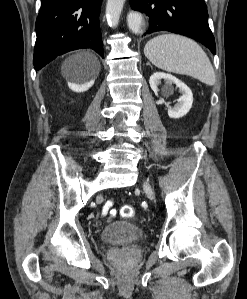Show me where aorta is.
I'll use <instances>...</instances> for the list:
<instances>
[{"mask_svg": "<svg viewBox=\"0 0 247 299\" xmlns=\"http://www.w3.org/2000/svg\"><path fill=\"white\" fill-rule=\"evenodd\" d=\"M125 0H107L106 16L111 26L116 27L123 10Z\"/></svg>", "mask_w": 247, "mask_h": 299, "instance_id": "aorta-1", "label": "aorta"}]
</instances>
